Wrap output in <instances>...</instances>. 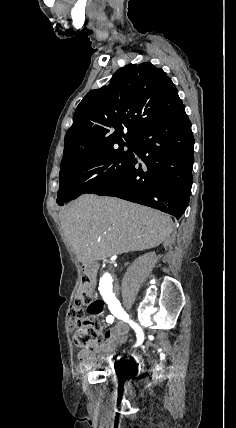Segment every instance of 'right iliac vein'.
<instances>
[{"label": "right iliac vein", "instance_id": "63e3f726", "mask_svg": "<svg viewBox=\"0 0 236 428\" xmlns=\"http://www.w3.org/2000/svg\"><path fill=\"white\" fill-rule=\"evenodd\" d=\"M127 337H128V336L125 334L123 337H121V339H119V340H118V339H116V340H114L113 342H114V343H116V344H115L116 346H118V345L120 346V345H121V344H123V343L125 344V343H126V341H129V340H126V338H127ZM120 343H121V344H120Z\"/></svg>", "mask_w": 236, "mask_h": 428}]
</instances>
